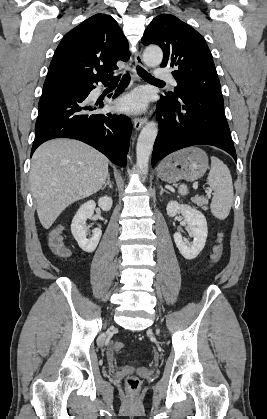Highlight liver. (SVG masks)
<instances>
[{"label": "liver", "mask_w": 267, "mask_h": 419, "mask_svg": "<svg viewBox=\"0 0 267 419\" xmlns=\"http://www.w3.org/2000/svg\"><path fill=\"white\" fill-rule=\"evenodd\" d=\"M108 159L72 139L45 142L32 156L31 192L40 223L49 229L65 208L98 192L108 176Z\"/></svg>", "instance_id": "1"}]
</instances>
